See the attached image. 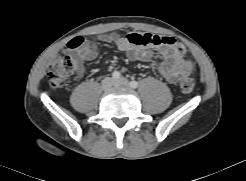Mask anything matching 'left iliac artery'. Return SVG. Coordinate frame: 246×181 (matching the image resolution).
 <instances>
[{
  "mask_svg": "<svg viewBox=\"0 0 246 181\" xmlns=\"http://www.w3.org/2000/svg\"><path fill=\"white\" fill-rule=\"evenodd\" d=\"M130 86L135 89V88H137L139 86V84H138L137 81H131L130 82Z\"/></svg>",
  "mask_w": 246,
  "mask_h": 181,
  "instance_id": "44dca946",
  "label": "left iliac artery"
}]
</instances>
